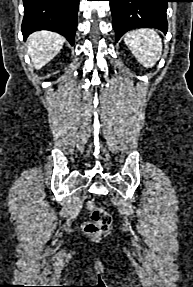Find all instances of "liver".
Listing matches in <instances>:
<instances>
[{
  "instance_id": "liver-1",
  "label": "liver",
  "mask_w": 193,
  "mask_h": 287,
  "mask_svg": "<svg viewBox=\"0 0 193 287\" xmlns=\"http://www.w3.org/2000/svg\"><path fill=\"white\" fill-rule=\"evenodd\" d=\"M65 38L51 31H37L27 40L28 54L33 67L40 69L49 63L61 50Z\"/></svg>"
}]
</instances>
